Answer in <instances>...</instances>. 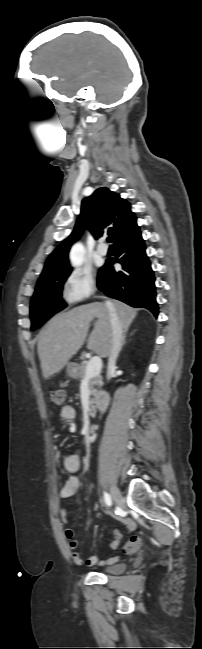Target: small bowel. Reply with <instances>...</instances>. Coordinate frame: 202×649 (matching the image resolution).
Here are the masks:
<instances>
[{
  "mask_svg": "<svg viewBox=\"0 0 202 649\" xmlns=\"http://www.w3.org/2000/svg\"><path fill=\"white\" fill-rule=\"evenodd\" d=\"M76 417V410L71 405H65L60 410V418L63 421H72ZM81 467V458L78 452H73L65 457L64 459V468L69 473H77ZM80 488V480L76 475H71L66 478L64 484L60 490V498L62 500H68L74 496ZM101 508H105L103 502H99ZM61 522L68 526L71 522L69 512L66 509H62L60 512ZM110 533L114 536V541L111 543L112 548H116L119 545V542L122 538L121 533L117 529H112ZM64 536L68 540V548L71 550V556L73 561L79 566L87 567H101L105 565H111L116 563L119 560L118 556L109 557L107 559H102L99 556H90L85 558L80 552L77 551L79 546L78 540L74 538V532L72 529L67 528L64 531Z\"/></svg>",
  "mask_w": 202,
  "mask_h": 649,
  "instance_id": "small-bowel-1",
  "label": "small bowel"
}]
</instances>
